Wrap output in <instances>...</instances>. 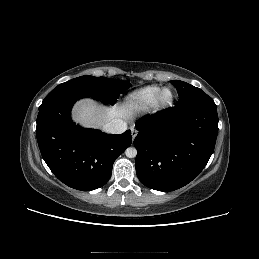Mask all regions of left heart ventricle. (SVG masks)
I'll return each mask as SVG.
<instances>
[{
	"label": "left heart ventricle",
	"mask_w": 259,
	"mask_h": 259,
	"mask_svg": "<svg viewBox=\"0 0 259 259\" xmlns=\"http://www.w3.org/2000/svg\"><path fill=\"white\" fill-rule=\"evenodd\" d=\"M169 92H165L164 94H163V99L164 100H166V99H168L169 98Z\"/></svg>",
	"instance_id": "1"
}]
</instances>
